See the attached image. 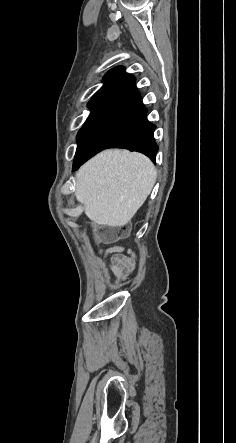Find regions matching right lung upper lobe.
<instances>
[{"mask_svg": "<svg viewBox=\"0 0 236 443\" xmlns=\"http://www.w3.org/2000/svg\"><path fill=\"white\" fill-rule=\"evenodd\" d=\"M104 85L90 102L106 101L109 97L134 86L136 79L119 66L111 69L104 77Z\"/></svg>", "mask_w": 236, "mask_h": 443, "instance_id": "obj_1", "label": "right lung upper lobe"}]
</instances>
